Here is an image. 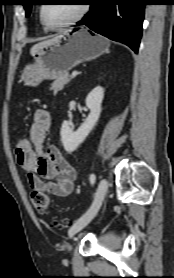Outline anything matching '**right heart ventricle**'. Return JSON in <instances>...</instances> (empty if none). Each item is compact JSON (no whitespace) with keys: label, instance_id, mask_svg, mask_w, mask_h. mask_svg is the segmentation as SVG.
Listing matches in <instances>:
<instances>
[{"label":"right heart ventricle","instance_id":"right-heart-ventricle-1","mask_svg":"<svg viewBox=\"0 0 174 278\" xmlns=\"http://www.w3.org/2000/svg\"><path fill=\"white\" fill-rule=\"evenodd\" d=\"M41 21V20H40ZM42 23V22H41ZM42 25H43V23H42ZM43 29L46 31L47 30V28L43 25Z\"/></svg>","mask_w":174,"mask_h":278}]
</instances>
